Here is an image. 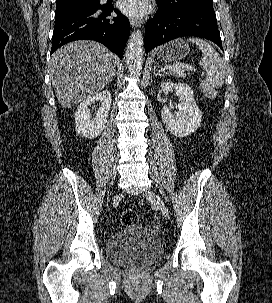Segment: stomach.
Instances as JSON below:
<instances>
[{"mask_svg": "<svg viewBox=\"0 0 272 303\" xmlns=\"http://www.w3.org/2000/svg\"><path fill=\"white\" fill-rule=\"evenodd\" d=\"M189 45L183 39H175L157 50V57L165 63L179 61L189 53Z\"/></svg>", "mask_w": 272, "mask_h": 303, "instance_id": "stomach-1", "label": "stomach"}]
</instances>
